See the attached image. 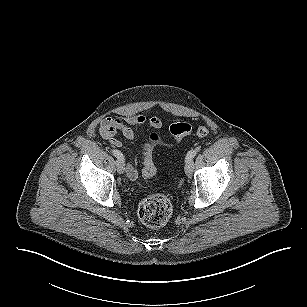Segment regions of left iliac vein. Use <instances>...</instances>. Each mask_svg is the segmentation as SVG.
Listing matches in <instances>:
<instances>
[{
  "instance_id": "left-iliac-vein-1",
  "label": "left iliac vein",
  "mask_w": 307,
  "mask_h": 307,
  "mask_svg": "<svg viewBox=\"0 0 307 307\" xmlns=\"http://www.w3.org/2000/svg\"><path fill=\"white\" fill-rule=\"evenodd\" d=\"M193 170H194V163L193 160H189L186 162L185 164V173L187 175V177H191L193 174Z\"/></svg>"
}]
</instances>
